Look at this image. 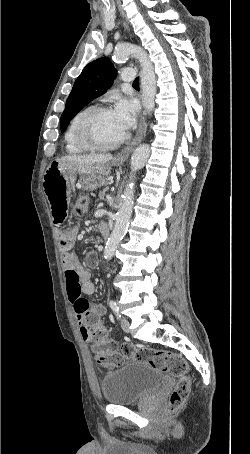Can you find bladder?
Returning a JSON list of instances; mask_svg holds the SVG:
<instances>
[{
    "instance_id": "obj_1",
    "label": "bladder",
    "mask_w": 250,
    "mask_h": 454,
    "mask_svg": "<svg viewBox=\"0 0 250 454\" xmlns=\"http://www.w3.org/2000/svg\"><path fill=\"white\" fill-rule=\"evenodd\" d=\"M164 376L145 362H130L101 379L105 401L112 405L137 403L156 391Z\"/></svg>"
}]
</instances>
